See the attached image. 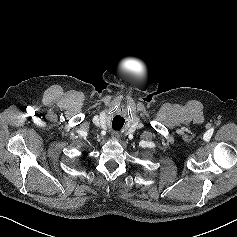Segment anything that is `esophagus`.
Returning a JSON list of instances; mask_svg holds the SVG:
<instances>
[{"instance_id": "34e87169", "label": "esophagus", "mask_w": 237, "mask_h": 237, "mask_svg": "<svg viewBox=\"0 0 237 237\" xmlns=\"http://www.w3.org/2000/svg\"><path fill=\"white\" fill-rule=\"evenodd\" d=\"M112 139L113 140H118L119 139V134L116 133V132L112 133Z\"/></svg>"}]
</instances>
